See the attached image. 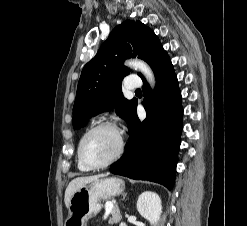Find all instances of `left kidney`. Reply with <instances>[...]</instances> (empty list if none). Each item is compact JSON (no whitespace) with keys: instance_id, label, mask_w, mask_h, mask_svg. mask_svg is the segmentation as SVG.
I'll return each instance as SVG.
<instances>
[{"instance_id":"1","label":"left kidney","mask_w":247,"mask_h":226,"mask_svg":"<svg viewBox=\"0 0 247 226\" xmlns=\"http://www.w3.org/2000/svg\"><path fill=\"white\" fill-rule=\"evenodd\" d=\"M137 210L142 217L151 224L156 225L162 213L160 197L151 191L143 192L138 198Z\"/></svg>"}]
</instances>
